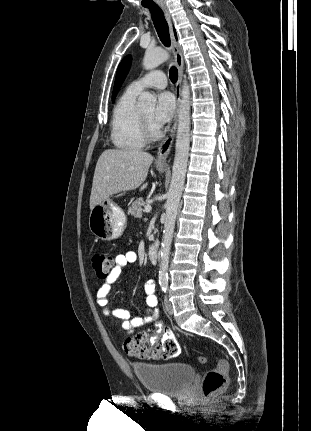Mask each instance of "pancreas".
<instances>
[{
    "mask_svg": "<svg viewBox=\"0 0 311 431\" xmlns=\"http://www.w3.org/2000/svg\"><path fill=\"white\" fill-rule=\"evenodd\" d=\"M145 206H147V202H145L143 198H137V200L133 202L131 208H128L127 214H129V216L141 217L142 208H145Z\"/></svg>",
    "mask_w": 311,
    "mask_h": 431,
    "instance_id": "pancreas-1",
    "label": "pancreas"
}]
</instances>
